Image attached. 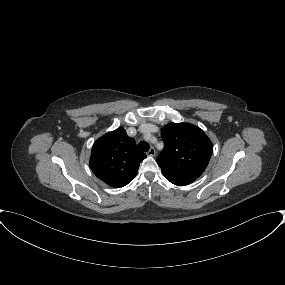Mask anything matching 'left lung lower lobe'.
I'll return each instance as SVG.
<instances>
[{
  "instance_id": "0a47b994",
  "label": "left lung lower lobe",
  "mask_w": 285,
  "mask_h": 285,
  "mask_svg": "<svg viewBox=\"0 0 285 285\" xmlns=\"http://www.w3.org/2000/svg\"><path fill=\"white\" fill-rule=\"evenodd\" d=\"M163 175L168 181H170L171 183L178 185V186H185V185H188V184H190L196 180V179H192V178H185V177H180V176L168 175V174H164V173H163Z\"/></svg>"
}]
</instances>
